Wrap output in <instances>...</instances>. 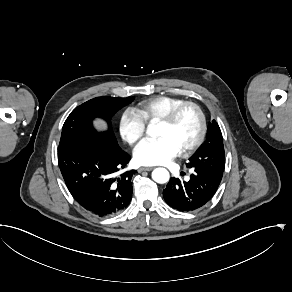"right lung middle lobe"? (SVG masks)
Listing matches in <instances>:
<instances>
[{"instance_id": "1", "label": "right lung middle lobe", "mask_w": 292, "mask_h": 292, "mask_svg": "<svg viewBox=\"0 0 292 292\" xmlns=\"http://www.w3.org/2000/svg\"><path fill=\"white\" fill-rule=\"evenodd\" d=\"M133 100L134 97H96L81 104L67 117L62 128L59 148L76 145L103 147L105 149L119 148L111 126V118ZM96 117L107 121V131L96 132L92 126V121Z\"/></svg>"}]
</instances>
